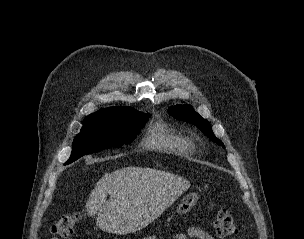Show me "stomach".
<instances>
[{
	"label": "stomach",
	"mask_w": 304,
	"mask_h": 239,
	"mask_svg": "<svg viewBox=\"0 0 304 239\" xmlns=\"http://www.w3.org/2000/svg\"><path fill=\"white\" fill-rule=\"evenodd\" d=\"M199 199V195L197 193H189L184 196L180 201L178 206L176 207V212L178 214H185L191 210V208L196 204Z\"/></svg>",
	"instance_id": "0dacf381"
}]
</instances>
